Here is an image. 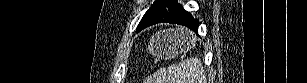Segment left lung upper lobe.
I'll return each mask as SVG.
<instances>
[{
  "label": "left lung upper lobe",
  "instance_id": "obj_1",
  "mask_svg": "<svg viewBox=\"0 0 307 83\" xmlns=\"http://www.w3.org/2000/svg\"><path fill=\"white\" fill-rule=\"evenodd\" d=\"M175 3H176L175 0L155 1L143 16L142 20L137 26V29L162 20L164 17H166L169 14Z\"/></svg>",
  "mask_w": 307,
  "mask_h": 83
}]
</instances>
